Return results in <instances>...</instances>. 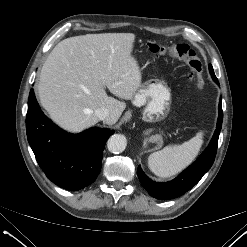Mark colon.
Returning a JSON list of instances; mask_svg holds the SVG:
<instances>
[{
    "label": "colon",
    "mask_w": 247,
    "mask_h": 247,
    "mask_svg": "<svg viewBox=\"0 0 247 247\" xmlns=\"http://www.w3.org/2000/svg\"><path fill=\"white\" fill-rule=\"evenodd\" d=\"M147 49L157 56H168L185 62L190 68V80L196 89H201L202 80V62L195 50L189 45L180 43L171 46H161L149 44Z\"/></svg>",
    "instance_id": "colon-1"
}]
</instances>
